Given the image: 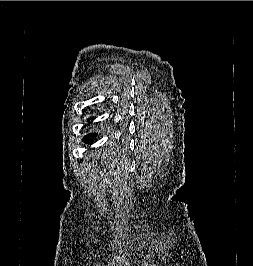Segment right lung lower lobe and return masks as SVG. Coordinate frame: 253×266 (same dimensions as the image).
<instances>
[{
	"label": "right lung lower lobe",
	"mask_w": 253,
	"mask_h": 266,
	"mask_svg": "<svg viewBox=\"0 0 253 266\" xmlns=\"http://www.w3.org/2000/svg\"><path fill=\"white\" fill-rule=\"evenodd\" d=\"M95 137H96V134H89L88 136H86L84 138V141L86 143H92V141L95 139Z\"/></svg>",
	"instance_id": "98d812e1"
}]
</instances>
